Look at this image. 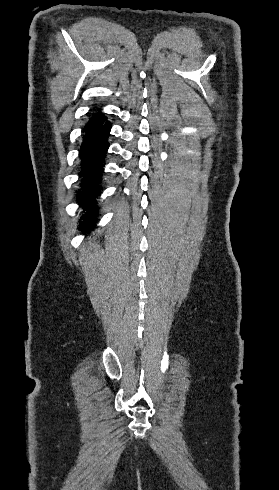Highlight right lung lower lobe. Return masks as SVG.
I'll return each instance as SVG.
<instances>
[{"label":"right lung lower lobe","instance_id":"1","mask_svg":"<svg viewBox=\"0 0 279 490\" xmlns=\"http://www.w3.org/2000/svg\"><path fill=\"white\" fill-rule=\"evenodd\" d=\"M110 129L111 123L83 135L79 154L81 160L80 188L75 197L82 209L79 231L83 234L90 233L97 221L99 210L97 198L102 190L101 177L105 164L104 156L109 147L107 138Z\"/></svg>","mask_w":279,"mask_h":490}]
</instances>
